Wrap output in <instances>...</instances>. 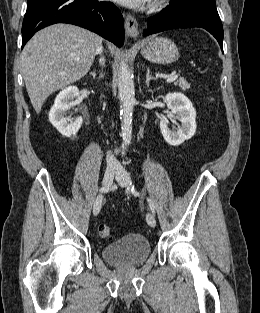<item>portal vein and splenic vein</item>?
Listing matches in <instances>:
<instances>
[{
  "label": "portal vein and splenic vein",
  "mask_w": 260,
  "mask_h": 313,
  "mask_svg": "<svg viewBox=\"0 0 260 313\" xmlns=\"http://www.w3.org/2000/svg\"><path fill=\"white\" fill-rule=\"evenodd\" d=\"M178 78L177 74H172L167 78V83H171L173 81H175Z\"/></svg>",
  "instance_id": "1"
}]
</instances>
